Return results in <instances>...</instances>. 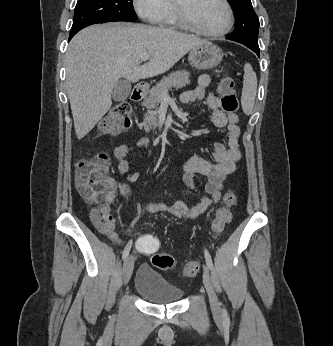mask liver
<instances>
[{
    "mask_svg": "<svg viewBox=\"0 0 333 346\" xmlns=\"http://www.w3.org/2000/svg\"><path fill=\"white\" fill-rule=\"evenodd\" d=\"M209 43L196 36L142 24L108 23L81 30L66 52V88L78 139L112 105L120 78L137 82L165 73L188 51ZM149 61L140 66L141 57Z\"/></svg>",
    "mask_w": 333,
    "mask_h": 346,
    "instance_id": "6515ba94",
    "label": "liver"
}]
</instances>
